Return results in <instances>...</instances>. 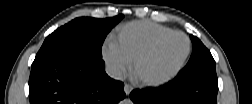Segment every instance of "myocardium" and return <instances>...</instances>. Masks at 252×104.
I'll return each mask as SVG.
<instances>
[{"label":"myocardium","instance_id":"myocardium-1","mask_svg":"<svg viewBox=\"0 0 252 104\" xmlns=\"http://www.w3.org/2000/svg\"><path fill=\"white\" fill-rule=\"evenodd\" d=\"M182 36L186 39L187 41V52L183 55V57L180 59V61L178 62L177 65H175L172 69H170L169 71H173V70H176L177 68H179V66L184 62V60L186 59L187 57V54H188V51L190 49V39L189 37L186 35V34H182ZM147 53V50H143L141 52H139L133 59V69L135 72H137V65L139 64V62L144 59L148 54ZM167 73H163L157 77H143V76H140L139 75V78L140 80H142L143 82H149L155 78H158V77H163L165 76Z\"/></svg>","mask_w":252,"mask_h":104}]
</instances>
